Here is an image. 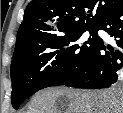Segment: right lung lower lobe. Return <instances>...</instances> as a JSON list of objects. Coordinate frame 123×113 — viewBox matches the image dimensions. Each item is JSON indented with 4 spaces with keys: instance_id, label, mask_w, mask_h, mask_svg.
I'll list each match as a JSON object with an SVG mask.
<instances>
[{
    "instance_id": "98d812e1",
    "label": "right lung lower lobe",
    "mask_w": 123,
    "mask_h": 113,
    "mask_svg": "<svg viewBox=\"0 0 123 113\" xmlns=\"http://www.w3.org/2000/svg\"><path fill=\"white\" fill-rule=\"evenodd\" d=\"M97 27L115 37L117 46H106L102 40L82 72L65 86L101 89L117 81L118 72L123 67V3L106 14Z\"/></svg>"
}]
</instances>
